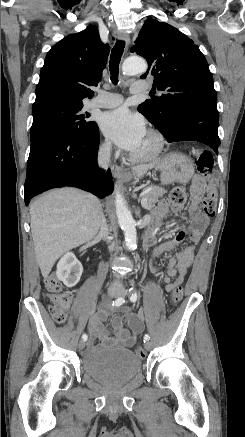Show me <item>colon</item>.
<instances>
[{
	"instance_id": "obj_1",
	"label": "colon",
	"mask_w": 245,
	"mask_h": 437,
	"mask_svg": "<svg viewBox=\"0 0 245 437\" xmlns=\"http://www.w3.org/2000/svg\"><path fill=\"white\" fill-rule=\"evenodd\" d=\"M196 165L198 172L207 180L210 179L213 171V156L208 151L198 152L196 156ZM216 190L211 185L203 199L202 208L204 214L212 216L215 212ZM186 199V192L183 187L174 188L169 194V200L175 204H182ZM45 298L49 304L50 311L57 323H63L66 319L67 309L71 302V294L62 291L61 284L54 277L50 276L45 280ZM183 298V290L176 287L171 294L170 303L176 306ZM135 353L139 357L145 356V351L141 346H136Z\"/></svg>"
}]
</instances>
